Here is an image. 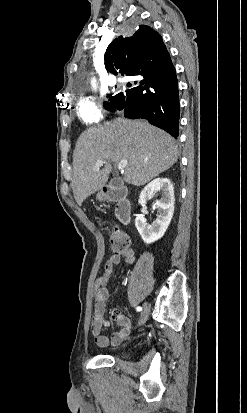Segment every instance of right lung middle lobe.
<instances>
[{
	"mask_svg": "<svg viewBox=\"0 0 247 413\" xmlns=\"http://www.w3.org/2000/svg\"><path fill=\"white\" fill-rule=\"evenodd\" d=\"M108 97L110 98V101H112V99H113V97H114V96H112V95H108ZM109 105H110V103H108V102H104V107H105V108H108V107H109Z\"/></svg>",
	"mask_w": 247,
	"mask_h": 413,
	"instance_id": "dd1d6c3e",
	"label": "right lung middle lobe"
}]
</instances>
